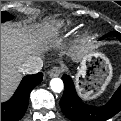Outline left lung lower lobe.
Returning a JSON list of instances; mask_svg holds the SVG:
<instances>
[{"label":"left lung lower lobe","instance_id":"obj_1","mask_svg":"<svg viewBox=\"0 0 121 121\" xmlns=\"http://www.w3.org/2000/svg\"><path fill=\"white\" fill-rule=\"evenodd\" d=\"M114 35L121 41L119 32L108 33L101 38ZM64 93L60 100V107L64 115L72 121H105L121 110V86L114 93L110 101L101 107L84 104L78 97L71 77L62 76Z\"/></svg>","mask_w":121,"mask_h":121}]
</instances>
